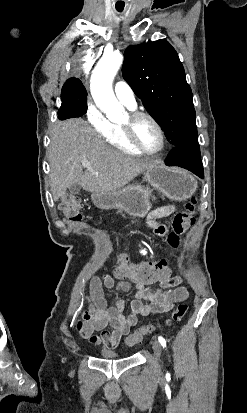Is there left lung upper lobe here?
Segmentation results:
<instances>
[{
  "label": "left lung upper lobe",
  "instance_id": "5c2ea615",
  "mask_svg": "<svg viewBox=\"0 0 247 413\" xmlns=\"http://www.w3.org/2000/svg\"><path fill=\"white\" fill-rule=\"evenodd\" d=\"M122 72L172 147L198 143L192 91L169 42L160 39L128 47Z\"/></svg>",
  "mask_w": 247,
  "mask_h": 413
}]
</instances>
